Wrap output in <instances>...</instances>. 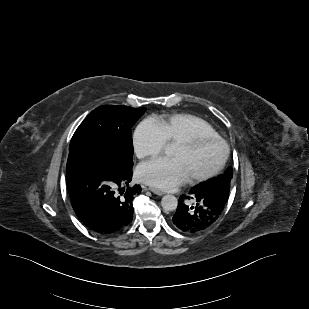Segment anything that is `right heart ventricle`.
I'll use <instances>...</instances> for the list:
<instances>
[{
    "label": "right heart ventricle",
    "mask_w": 309,
    "mask_h": 309,
    "mask_svg": "<svg viewBox=\"0 0 309 309\" xmlns=\"http://www.w3.org/2000/svg\"><path fill=\"white\" fill-rule=\"evenodd\" d=\"M161 129L166 142H177L195 133L217 135L216 130L204 119L193 114L177 113L153 120Z\"/></svg>",
    "instance_id": "e07e8e85"
}]
</instances>
